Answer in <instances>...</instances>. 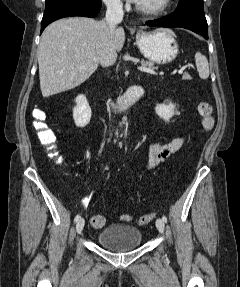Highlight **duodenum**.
Masks as SVG:
<instances>
[{"label": "duodenum", "mask_w": 240, "mask_h": 287, "mask_svg": "<svg viewBox=\"0 0 240 287\" xmlns=\"http://www.w3.org/2000/svg\"><path fill=\"white\" fill-rule=\"evenodd\" d=\"M144 94V90L140 85H134L129 88L126 93L119 97L115 102L112 103V106L116 110H123L135 102H137Z\"/></svg>", "instance_id": "1"}]
</instances>
